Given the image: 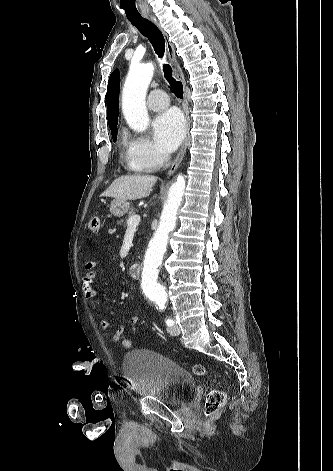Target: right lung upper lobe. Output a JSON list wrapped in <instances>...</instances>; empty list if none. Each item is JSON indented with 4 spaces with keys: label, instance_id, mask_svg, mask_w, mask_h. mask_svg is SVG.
Returning a JSON list of instances; mask_svg holds the SVG:
<instances>
[{
    "label": "right lung upper lobe",
    "instance_id": "cb5924a9",
    "mask_svg": "<svg viewBox=\"0 0 333 471\" xmlns=\"http://www.w3.org/2000/svg\"><path fill=\"white\" fill-rule=\"evenodd\" d=\"M120 76L116 69L110 75L107 88V119L111 132L116 129L118 123V100H119Z\"/></svg>",
    "mask_w": 333,
    "mask_h": 471
}]
</instances>
